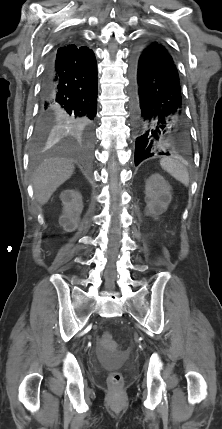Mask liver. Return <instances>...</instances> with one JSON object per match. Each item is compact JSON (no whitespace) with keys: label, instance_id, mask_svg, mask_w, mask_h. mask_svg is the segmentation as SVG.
Segmentation results:
<instances>
[{"label":"liver","instance_id":"1","mask_svg":"<svg viewBox=\"0 0 222 429\" xmlns=\"http://www.w3.org/2000/svg\"><path fill=\"white\" fill-rule=\"evenodd\" d=\"M74 171L71 160L50 158L42 162L33 173L34 195L40 204L48 202L55 190L68 180Z\"/></svg>","mask_w":222,"mask_h":429}]
</instances>
